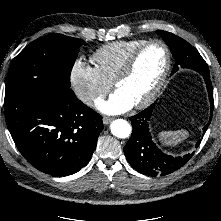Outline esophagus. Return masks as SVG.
<instances>
[{
    "label": "esophagus",
    "mask_w": 221,
    "mask_h": 221,
    "mask_svg": "<svg viewBox=\"0 0 221 221\" xmlns=\"http://www.w3.org/2000/svg\"><path fill=\"white\" fill-rule=\"evenodd\" d=\"M112 119H113V118H111V117L104 116V117H103V123H104L105 125H107V124H109V123L112 121Z\"/></svg>",
    "instance_id": "1"
}]
</instances>
